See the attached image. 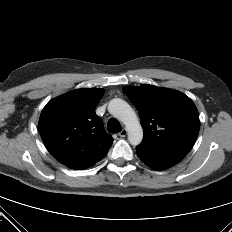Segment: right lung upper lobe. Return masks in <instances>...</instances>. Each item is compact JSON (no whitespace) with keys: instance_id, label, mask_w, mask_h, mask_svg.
Listing matches in <instances>:
<instances>
[{"instance_id":"right-lung-upper-lobe-1","label":"right lung upper lobe","mask_w":232,"mask_h":232,"mask_svg":"<svg viewBox=\"0 0 232 232\" xmlns=\"http://www.w3.org/2000/svg\"><path fill=\"white\" fill-rule=\"evenodd\" d=\"M103 94V89H76L52 99L41 113L39 132L47 150L69 168L92 166L113 142L95 114Z\"/></svg>"}]
</instances>
